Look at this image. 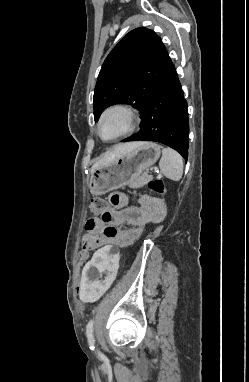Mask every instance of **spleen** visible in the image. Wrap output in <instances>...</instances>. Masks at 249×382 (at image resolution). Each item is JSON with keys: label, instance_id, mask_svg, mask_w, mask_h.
I'll use <instances>...</instances> for the list:
<instances>
[{"label": "spleen", "instance_id": "spleen-1", "mask_svg": "<svg viewBox=\"0 0 249 382\" xmlns=\"http://www.w3.org/2000/svg\"><path fill=\"white\" fill-rule=\"evenodd\" d=\"M159 167L161 173L173 181H179L183 175V159L177 151L171 148H163Z\"/></svg>", "mask_w": 249, "mask_h": 382}]
</instances>
